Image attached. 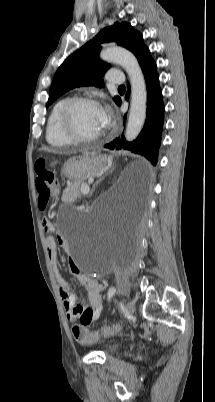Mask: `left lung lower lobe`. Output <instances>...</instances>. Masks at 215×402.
I'll return each instance as SVG.
<instances>
[{
  "mask_svg": "<svg viewBox=\"0 0 215 402\" xmlns=\"http://www.w3.org/2000/svg\"><path fill=\"white\" fill-rule=\"evenodd\" d=\"M141 69L147 87V112L144 127L134 141L126 142L122 135L121 138H116L104 147L130 150L143 155L152 165H156L164 122V104L155 61L150 58L141 66ZM127 87L126 99L129 98L130 93L129 85ZM116 104L120 105L121 99ZM124 120H126V114L124 115Z\"/></svg>",
  "mask_w": 215,
  "mask_h": 402,
  "instance_id": "obj_1",
  "label": "left lung lower lobe"
}]
</instances>
